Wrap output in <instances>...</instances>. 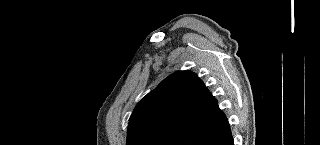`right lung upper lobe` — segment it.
I'll use <instances>...</instances> for the list:
<instances>
[{
	"instance_id": "1",
	"label": "right lung upper lobe",
	"mask_w": 320,
	"mask_h": 145,
	"mask_svg": "<svg viewBox=\"0 0 320 145\" xmlns=\"http://www.w3.org/2000/svg\"><path fill=\"white\" fill-rule=\"evenodd\" d=\"M219 111L217 100L195 73L175 72L135 107L128 124L127 145H137L157 133H179L210 120Z\"/></svg>"
}]
</instances>
